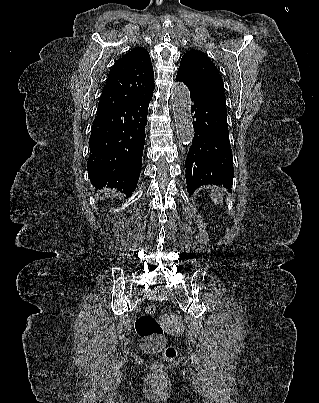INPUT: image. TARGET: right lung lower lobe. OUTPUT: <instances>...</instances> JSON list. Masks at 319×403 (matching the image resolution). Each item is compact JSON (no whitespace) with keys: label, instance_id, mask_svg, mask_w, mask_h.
Wrapping results in <instances>:
<instances>
[{"label":"right lung lower lobe","instance_id":"1","mask_svg":"<svg viewBox=\"0 0 319 403\" xmlns=\"http://www.w3.org/2000/svg\"><path fill=\"white\" fill-rule=\"evenodd\" d=\"M151 97L97 113L89 138V178L96 188L105 186L131 194L141 172L145 126Z\"/></svg>","mask_w":319,"mask_h":403}]
</instances>
